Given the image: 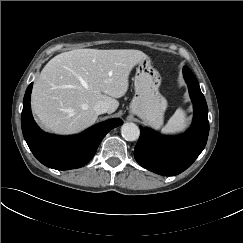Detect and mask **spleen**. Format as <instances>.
<instances>
[{"label":"spleen","instance_id":"spleen-1","mask_svg":"<svg viewBox=\"0 0 243 243\" xmlns=\"http://www.w3.org/2000/svg\"><path fill=\"white\" fill-rule=\"evenodd\" d=\"M188 118L182 108H178L174 115L168 120L163 128L164 134H175L182 132L187 127Z\"/></svg>","mask_w":243,"mask_h":243}]
</instances>
